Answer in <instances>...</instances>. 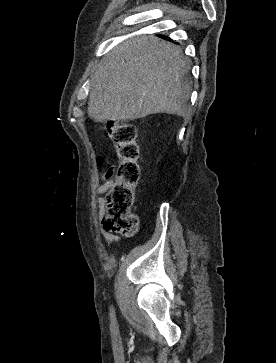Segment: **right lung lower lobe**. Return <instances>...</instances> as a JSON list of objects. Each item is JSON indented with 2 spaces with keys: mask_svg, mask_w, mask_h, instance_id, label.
<instances>
[{
  "mask_svg": "<svg viewBox=\"0 0 276 363\" xmlns=\"http://www.w3.org/2000/svg\"><path fill=\"white\" fill-rule=\"evenodd\" d=\"M162 38H165V39H168V38H166L165 36H161Z\"/></svg>",
  "mask_w": 276,
  "mask_h": 363,
  "instance_id": "obj_1",
  "label": "right lung lower lobe"
}]
</instances>
